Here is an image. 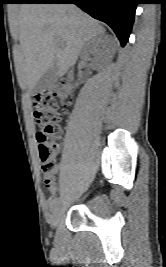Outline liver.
Returning a JSON list of instances; mask_svg holds the SVG:
<instances>
[{
    "mask_svg": "<svg viewBox=\"0 0 166 267\" xmlns=\"http://www.w3.org/2000/svg\"><path fill=\"white\" fill-rule=\"evenodd\" d=\"M104 31L74 4L21 5L12 30L20 42L15 66L21 88L31 92L54 63L62 77L76 63L85 42Z\"/></svg>",
    "mask_w": 166,
    "mask_h": 267,
    "instance_id": "obj_1",
    "label": "liver"
}]
</instances>
